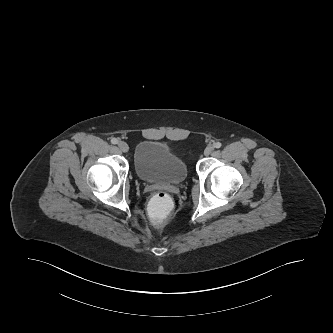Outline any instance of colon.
Instances as JSON below:
<instances>
[{
  "instance_id": "5ec220e1",
  "label": "colon",
  "mask_w": 333,
  "mask_h": 333,
  "mask_svg": "<svg viewBox=\"0 0 333 333\" xmlns=\"http://www.w3.org/2000/svg\"><path fill=\"white\" fill-rule=\"evenodd\" d=\"M175 198L166 192L155 193L148 204L147 212L151 222L158 227L166 226L171 219V212L175 209Z\"/></svg>"
}]
</instances>
